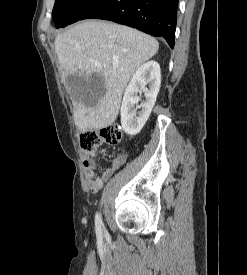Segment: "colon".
<instances>
[{"instance_id": "5ec220e1", "label": "colon", "mask_w": 247, "mask_h": 275, "mask_svg": "<svg viewBox=\"0 0 247 275\" xmlns=\"http://www.w3.org/2000/svg\"><path fill=\"white\" fill-rule=\"evenodd\" d=\"M123 138L118 125H108L97 130H84L79 134V146L82 150L93 153L103 143L115 145Z\"/></svg>"}]
</instances>
